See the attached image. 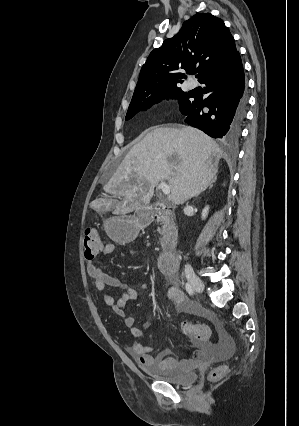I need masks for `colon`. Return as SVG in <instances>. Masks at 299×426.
<instances>
[{"mask_svg": "<svg viewBox=\"0 0 299 426\" xmlns=\"http://www.w3.org/2000/svg\"><path fill=\"white\" fill-rule=\"evenodd\" d=\"M103 245V240L99 233L95 229L88 228L85 232L83 242L85 259L88 262L94 261L99 256ZM181 330L185 335L190 336L196 341H207L211 334L210 328L204 324L183 322L181 324ZM226 373L227 368L225 366L214 367L209 373V380L211 382L219 381Z\"/></svg>", "mask_w": 299, "mask_h": 426, "instance_id": "obj_1", "label": "colon"}]
</instances>
